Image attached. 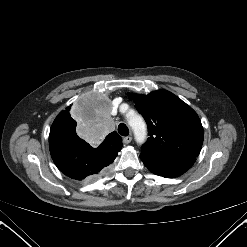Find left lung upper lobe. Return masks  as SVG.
<instances>
[{
  "label": "left lung upper lobe",
  "mask_w": 247,
  "mask_h": 247,
  "mask_svg": "<svg viewBox=\"0 0 247 247\" xmlns=\"http://www.w3.org/2000/svg\"><path fill=\"white\" fill-rule=\"evenodd\" d=\"M145 118L149 138L142 152L164 158H196L202 147L203 127L197 113L173 93L128 94Z\"/></svg>",
  "instance_id": "1"
}]
</instances>
